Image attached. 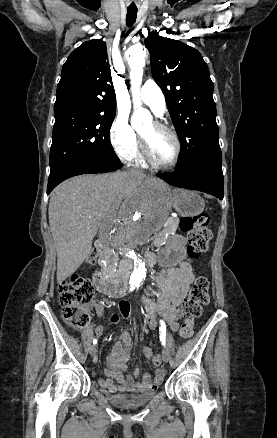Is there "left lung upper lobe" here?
<instances>
[{
    "label": "left lung upper lobe",
    "mask_w": 277,
    "mask_h": 438,
    "mask_svg": "<svg viewBox=\"0 0 277 438\" xmlns=\"http://www.w3.org/2000/svg\"><path fill=\"white\" fill-rule=\"evenodd\" d=\"M145 45L151 55L152 76L163 90L182 145L177 171L221 160L213 83L201 54L157 32H148Z\"/></svg>",
    "instance_id": "left-lung-upper-lobe-1"
}]
</instances>
